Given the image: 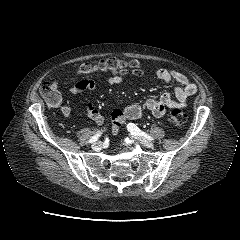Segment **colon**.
I'll use <instances>...</instances> for the list:
<instances>
[{"mask_svg":"<svg viewBox=\"0 0 240 240\" xmlns=\"http://www.w3.org/2000/svg\"><path fill=\"white\" fill-rule=\"evenodd\" d=\"M78 73L84 76L96 73L142 75L143 69L138 61L108 58L97 63H85L79 67ZM40 92L50 106L58 107L60 105V98L51 83H43L40 87ZM169 119L173 125L181 126L186 121V114L181 109L176 108L171 111Z\"/></svg>","mask_w":240,"mask_h":240,"instance_id":"5ec220e1","label":"colon"}]
</instances>
